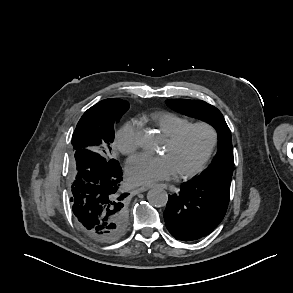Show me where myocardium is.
<instances>
[{
  "label": "myocardium",
  "instance_id": "obj_1",
  "mask_svg": "<svg viewBox=\"0 0 293 293\" xmlns=\"http://www.w3.org/2000/svg\"><path fill=\"white\" fill-rule=\"evenodd\" d=\"M194 128L205 129L209 133V143H208V146H207L204 154L202 155V157L199 159V161L192 168L185 170V171L176 172V176L178 178H190V177L194 176L195 174H197L199 171H201L202 168L205 166V164L210 159V157H211L212 153L214 152L215 147L217 145L218 134H217L215 127L212 124H210L208 122H204V121L193 122V123L188 124L187 126L183 127L181 130H179L178 132L173 134L172 136L167 137V141L170 144L175 145L178 142H180L183 139V137L190 130H192Z\"/></svg>",
  "mask_w": 293,
  "mask_h": 293
}]
</instances>
